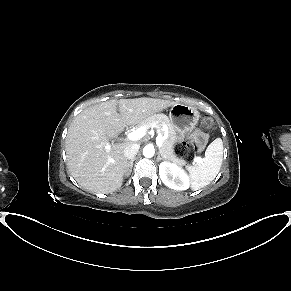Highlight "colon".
I'll list each match as a JSON object with an SVG mask.
<instances>
[{
	"instance_id": "5ec220e1",
	"label": "colon",
	"mask_w": 291,
	"mask_h": 291,
	"mask_svg": "<svg viewBox=\"0 0 291 291\" xmlns=\"http://www.w3.org/2000/svg\"><path fill=\"white\" fill-rule=\"evenodd\" d=\"M201 128L204 131L210 130L213 128V124L209 119H205L201 123ZM196 153V144L193 141L187 140L183 141L176 145L175 155L179 159H191Z\"/></svg>"
}]
</instances>
